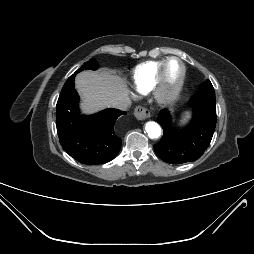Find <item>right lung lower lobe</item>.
<instances>
[{
    "label": "right lung lower lobe",
    "instance_id": "obj_1",
    "mask_svg": "<svg viewBox=\"0 0 254 254\" xmlns=\"http://www.w3.org/2000/svg\"><path fill=\"white\" fill-rule=\"evenodd\" d=\"M73 74L65 83L56 106V127L63 149L83 164H104L118 154L121 139L114 125L125 112L106 109L91 116L80 114Z\"/></svg>",
    "mask_w": 254,
    "mask_h": 254
}]
</instances>
